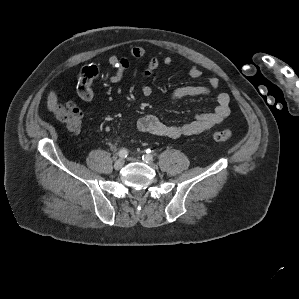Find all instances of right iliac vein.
Segmentation results:
<instances>
[{
  "label": "right iliac vein",
  "instance_id": "right-iliac-vein-1",
  "mask_svg": "<svg viewBox=\"0 0 299 299\" xmlns=\"http://www.w3.org/2000/svg\"><path fill=\"white\" fill-rule=\"evenodd\" d=\"M124 165V160L122 159H118L115 163H114V168L116 170H120Z\"/></svg>",
  "mask_w": 299,
  "mask_h": 299
}]
</instances>
